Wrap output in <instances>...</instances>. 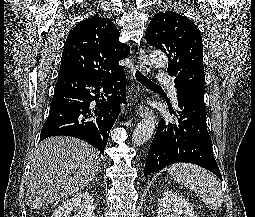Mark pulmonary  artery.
I'll use <instances>...</instances> for the list:
<instances>
[{
	"mask_svg": "<svg viewBox=\"0 0 255 217\" xmlns=\"http://www.w3.org/2000/svg\"><path fill=\"white\" fill-rule=\"evenodd\" d=\"M159 82L169 89L173 103L177 104V92L174 80L169 76L161 75L159 77Z\"/></svg>",
	"mask_w": 255,
	"mask_h": 217,
	"instance_id": "1",
	"label": "pulmonary artery"
}]
</instances>
